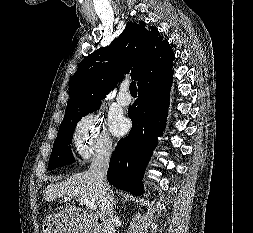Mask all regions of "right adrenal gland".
Segmentation results:
<instances>
[{
	"instance_id": "right-adrenal-gland-1",
	"label": "right adrenal gland",
	"mask_w": 253,
	"mask_h": 233,
	"mask_svg": "<svg viewBox=\"0 0 253 233\" xmlns=\"http://www.w3.org/2000/svg\"><path fill=\"white\" fill-rule=\"evenodd\" d=\"M116 205H117V200L115 199L114 200V206L116 207Z\"/></svg>"
}]
</instances>
